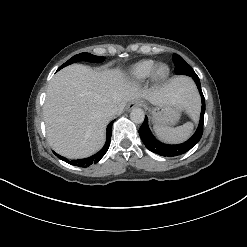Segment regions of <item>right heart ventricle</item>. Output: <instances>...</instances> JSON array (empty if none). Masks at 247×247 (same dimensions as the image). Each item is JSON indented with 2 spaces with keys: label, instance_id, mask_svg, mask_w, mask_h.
I'll return each instance as SVG.
<instances>
[{
  "label": "right heart ventricle",
  "instance_id": "1",
  "mask_svg": "<svg viewBox=\"0 0 247 247\" xmlns=\"http://www.w3.org/2000/svg\"><path fill=\"white\" fill-rule=\"evenodd\" d=\"M156 65L157 62L155 60H141L130 67L128 78L134 82H142L152 75Z\"/></svg>",
  "mask_w": 247,
  "mask_h": 247
}]
</instances>
